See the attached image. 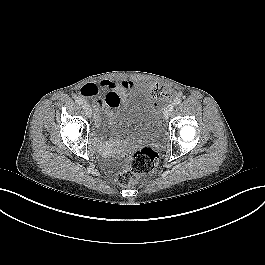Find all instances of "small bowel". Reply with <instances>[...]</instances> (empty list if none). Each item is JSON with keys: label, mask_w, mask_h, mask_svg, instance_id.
<instances>
[{"label": "small bowel", "mask_w": 265, "mask_h": 265, "mask_svg": "<svg viewBox=\"0 0 265 265\" xmlns=\"http://www.w3.org/2000/svg\"><path fill=\"white\" fill-rule=\"evenodd\" d=\"M134 84L133 81L114 82L109 79H104L99 83H86L80 93L84 98H91L94 101V109L98 113L103 110H108L119 105L120 99L124 96L126 89ZM155 94L160 100L166 101L171 95V92L159 84L152 86ZM114 96V98L112 97Z\"/></svg>", "instance_id": "small-bowel-1"}]
</instances>
